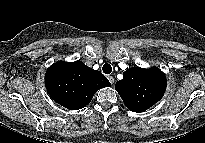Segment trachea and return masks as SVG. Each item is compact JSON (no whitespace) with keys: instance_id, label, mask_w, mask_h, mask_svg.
Segmentation results:
<instances>
[{"instance_id":"1","label":"trachea","mask_w":205,"mask_h":143,"mask_svg":"<svg viewBox=\"0 0 205 143\" xmlns=\"http://www.w3.org/2000/svg\"><path fill=\"white\" fill-rule=\"evenodd\" d=\"M102 69H103V72H104L105 74H110V73L112 72V67H111V65L108 64V63L104 64L103 67H102Z\"/></svg>"}]
</instances>
